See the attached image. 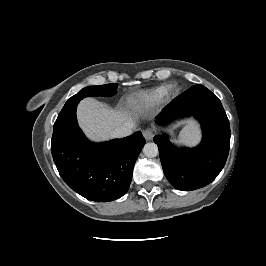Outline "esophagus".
<instances>
[{
    "label": "esophagus",
    "mask_w": 266,
    "mask_h": 266,
    "mask_svg": "<svg viewBox=\"0 0 266 266\" xmlns=\"http://www.w3.org/2000/svg\"><path fill=\"white\" fill-rule=\"evenodd\" d=\"M143 136L147 141L152 140L154 137V132L152 129H146L143 131Z\"/></svg>",
    "instance_id": "1"
}]
</instances>
